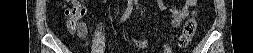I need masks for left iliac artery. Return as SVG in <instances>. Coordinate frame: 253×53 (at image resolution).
Returning a JSON list of instances; mask_svg holds the SVG:
<instances>
[{
    "label": "left iliac artery",
    "mask_w": 253,
    "mask_h": 53,
    "mask_svg": "<svg viewBox=\"0 0 253 53\" xmlns=\"http://www.w3.org/2000/svg\"><path fill=\"white\" fill-rule=\"evenodd\" d=\"M136 6H137V9H139L137 1H136Z\"/></svg>",
    "instance_id": "left-iliac-artery-1"
}]
</instances>
